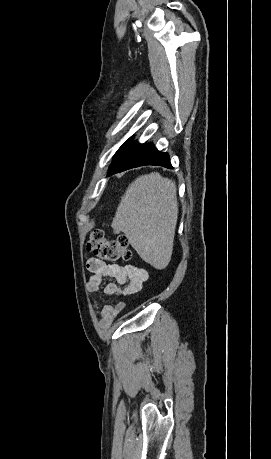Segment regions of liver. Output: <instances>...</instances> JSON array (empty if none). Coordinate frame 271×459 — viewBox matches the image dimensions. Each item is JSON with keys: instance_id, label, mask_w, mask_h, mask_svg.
<instances>
[{"instance_id": "obj_1", "label": "liver", "mask_w": 271, "mask_h": 459, "mask_svg": "<svg viewBox=\"0 0 271 459\" xmlns=\"http://www.w3.org/2000/svg\"><path fill=\"white\" fill-rule=\"evenodd\" d=\"M178 218L175 182L157 172L129 184L113 218L140 257L156 267L168 265Z\"/></svg>"}]
</instances>
